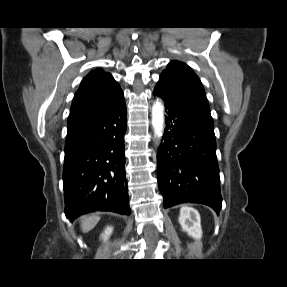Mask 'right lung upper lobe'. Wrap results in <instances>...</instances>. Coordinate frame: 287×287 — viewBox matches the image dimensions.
<instances>
[{"instance_id":"cb5924a9","label":"right lung upper lobe","mask_w":287,"mask_h":287,"mask_svg":"<svg viewBox=\"0 0 287 287\" xmlns=\"http://www.w3.org/2000/svg\"><path fill=\"white\" fill-rule=\"evenodd\" d=\"M122 100L123 92L112 75L96 69L82 80L74 96L68 122L108 112Z\"/></svg>"}]
</instances>
